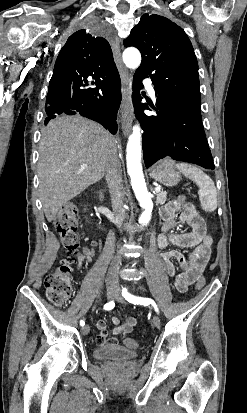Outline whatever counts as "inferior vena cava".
I'll list each match as a JSON object with an SVG mask.
<instances>
[{"mask_svg": "<svg viewBox=\"0 0 247 413\" xmlns=\"http://www.w3.org/2000/svg\"><path fill=\"white\" fill-rule=\"evenodd\" d=\"M113 146H110L109 160L105 166V176L107 184L109 186V192L112 200V207L115 213L116 225L121 227L125 219V209L123 207L124 192H123V180H122V168L121 162L118 158V144H120L118 138H114ZM121 257H115L113 259L107 275V281H113L118 283L119 263Z\"/></svg>", "mask_w": 247, "mask_h": 413, "instance_id": "inferior-vena-cava-1", "label": "inferior vena cava"}]
</instances>
